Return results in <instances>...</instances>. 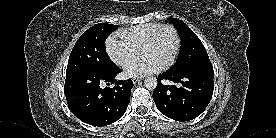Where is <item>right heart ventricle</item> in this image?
<instances>
[{"mask_svg": "<svg viewBox=\"0 0 276 138\" xmlns=\"http://www.w3.org/2000/svg\"><path fill=\"white\" fill-rule=\"evenodd\" d=\"M162 26L160 23H146L133 26L119 34L127 39L136 49H140L144 42Z\"/></svg>", "mask_w": 276, "mask_h": 138, "instance_id": "right-heart-ventricle-1", "label": "right heart ventricle"}]
</instances>
